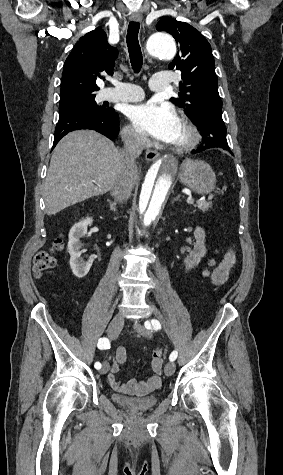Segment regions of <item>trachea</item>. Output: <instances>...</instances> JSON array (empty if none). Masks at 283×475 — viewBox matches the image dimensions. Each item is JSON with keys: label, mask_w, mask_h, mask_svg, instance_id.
Listing matches in <instances>:
<instances>
[{"label": "trachea", "mask_w": 283, "mask_h": 475, "mask_svg": "<svg viewBox=\"0 0 283 475\" xmlns=\"http://www.w3.org/2000/svg\"><path fill=\"white\" fill-rule=\"evenodd\" d=\"M140 25L138 22H130L128 25V32L126 37L129 58L132 69L135 73L140 72L143 64V57L141 47L139 45L138 34Z\"/></svg>", "instance_id": "1"}]
</instances>
